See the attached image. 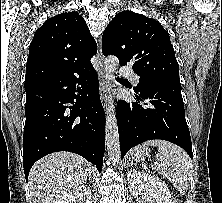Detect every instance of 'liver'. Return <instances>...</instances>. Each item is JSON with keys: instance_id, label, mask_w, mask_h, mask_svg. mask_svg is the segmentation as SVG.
<instances>
[{"instance_id": "obj_1", "label": "liver", "mask_w": 222, "mask_h": 203, "mask_svg": "<svg viewBox=\"0 0 222 203\" xmlns=\"http://www.w3.org/2000/svg\"><path fill=\"white\" fill-rule=\"evenodd\" d=\"M90 164L70 152H56L38 160L30 170L29 186L33 203H61L74 188L86 183Z\"/></svg>"}]
</instances>
